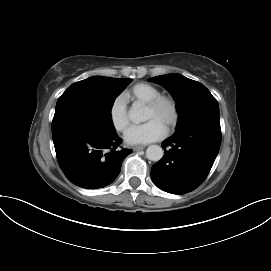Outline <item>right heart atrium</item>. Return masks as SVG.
<instances>
[{"label": "right heart atrium", "instance_id": "d8ad5b80", "mask_svg": "<svg viewBox=\"0 0 271 271\" xmlns=\"http://www.w3.org/2000/svg\"><path fill=\"white\" fill-rule=\"evenodd\" d=\"M109 119L113 128L118 132H123L129 124V116L126 100L123 96L115 97L109 107Z\"/></svg>", "mask_w": 271, "mask_h": 271}]
</instances>
